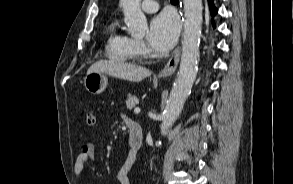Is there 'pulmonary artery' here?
I'll list each match as a JSON object with an SVG mask.
<instances>
[{
  "label": "pulmonary artery",
  "mask_w": 293,
  "mask_h": 184,
  "mask_svg": "<svg viewBox=\"0 0 293 184\" xmlns=\"http://www.w3.org/2000/svg\"><path fill=\"white\" fill-rule=\"evenodd\" d=\"M141 7L146 13H154L158 10L159 5L156 0H143Z\"/></svg>",
  "instance_id": "1"
}]
</instances>
